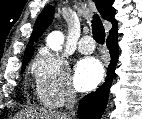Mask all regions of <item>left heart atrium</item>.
Wrapping results in <instances>:
<instances>
[{
  "label": "left heart atrium",
  "mask_w": 142,
  "mask_h": 119,
  "mask_svg": "<svg viewBox=\"0 0 142 119\" xmlns=\"http://www.w3.org/2000/svg\"><path fill=\"white\" fill-rule=\"evenodd\" d=\"M103 74V67L97 59H82L75 67L74 84L80 91H89L100 83Z\"/></svg>",
  "instance_id": "1"
}]
</instances>
